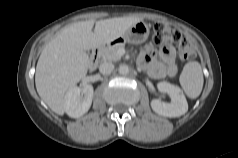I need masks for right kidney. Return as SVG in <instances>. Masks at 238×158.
I'll return each mask as SVG.
<instances>
[{"label": "right kidney", "instance_id": "1", "mask_svg": "<svg viewBox=\"0 0 238 158\" xmlns=\"http://www.w3.org/2000/svg\"><path fill=\"white\" fill-rule=\"evenodd\" d=\"M93 87L86 84L83 87H72L66 94L65 111L71 118H79L91 107Z\"/></svg>", "mask_w": 238, "mask_h": 158}]
</instances>
